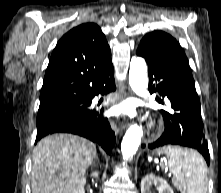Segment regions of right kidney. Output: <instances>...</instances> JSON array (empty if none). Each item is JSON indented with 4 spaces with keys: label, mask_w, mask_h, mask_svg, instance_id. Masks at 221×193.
<instances>
[{
    "label": "right kidney",
    "mask_w": 221,
    "mask_h": 193,
    "mask_svg": "<svg viewBox=\"0 0 221 193\" xmlns=\"http://www.w3.org/2000/svg\"><path fill=\"white\" fill-rule=\"evenodd\" d=\"M92 175L95 177V178H98V173L97 172H93ZM86 183V179L85 178H82L79 182V186L77 187V189L74 191V193H85L84 191V185Z\"/></svg>",
    "instance_id": "obj_1"
}]
</instances>
